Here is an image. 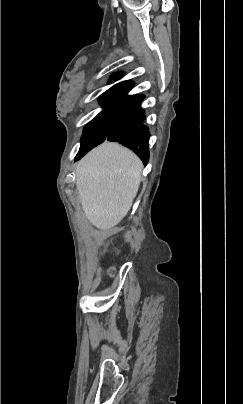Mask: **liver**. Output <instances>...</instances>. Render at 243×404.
Returning a JSON list of instances; mask_svg holds the SVG:
<instances>
[{"label": "liver", "mask_w": 243, "mask_h": 404, "mask_svg": "<svg viewBox=\"0 0 243 404\" xmlns=\"http://www.w3.org/2000/svg\"><path fill=\"white\" fill-rule=\"evenodd\" d=\"M142 162L116 142H104L76 166V188L92 226L110 230L128 214L138 192Z\"/></svg>", "instance_id": "1"}]
</instances>
